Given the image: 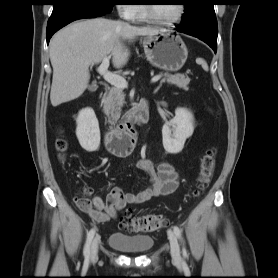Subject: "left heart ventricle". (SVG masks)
<instances>
[{
  "label": "left heart ventricle",
  "instance_id": "left-heart-ventricle-1",
  "mask_svg": "<svg viewBox=\"0 0 278 278\" xmlns=\"http://www.w3.org/2000/svg\"><path fill=\"white\" fill-rule=\"evenodd\" d=\"M152 10L159 19L169 21L178 15L179 4L154 5Z\"/></svg>",
  "mask_w": 278,
  "mask_h": 278
}]
</instances>
